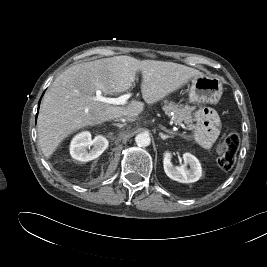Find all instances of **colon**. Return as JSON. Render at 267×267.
I'll return each instance as SVG.
<instances>
[{"mask_svg":"<svg viewBox=\"0 0 267 267\" xmlns=\"http://www.w3.org/2000/svg\"><path fill=\"white\" fill-rule=\"evenodd\" d=\"M239 147V135L236 132L228 133L219 146L218 165L223 170L233 166Z\"/></svg>","mask_w":267,"mask_h":267,"instance_id":"5ec220e1","label":"colon"}]
</instances>
